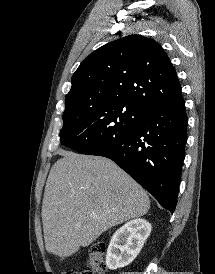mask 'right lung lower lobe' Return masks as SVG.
Here are the masks:
<instances>
[{"label":"right lung lower lobe","mask_w":215,"mask_h":274,"mask_svg":"<svg viewBox=\"0 0 215 274\" xmlns=\"http://www.w3.org/2000/svg\"><path fill=\"white\" fill-rule=\"evenodd\" d=\"M186 141L187 114L182 99L144 110L129 132L85 154L113 160L165 209L173 212Z\"/></svg>","instance_id":"98d812e1"}]
</instances>
